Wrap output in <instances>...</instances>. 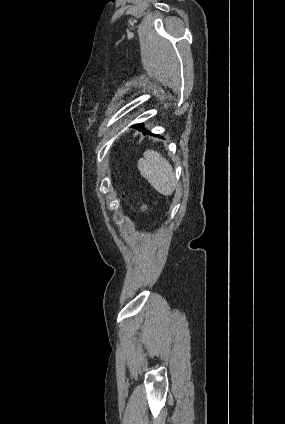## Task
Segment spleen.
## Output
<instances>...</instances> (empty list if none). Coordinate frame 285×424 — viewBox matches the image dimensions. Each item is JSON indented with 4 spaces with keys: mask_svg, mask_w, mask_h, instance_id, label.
Wrapping results in <instances>:
<instances>
[{
    "mask_svg": "<svg viewBox=\"0 0 285 424\" xmlns=\"http://www.w3.org/2000/svg\"><path fill=\"white\" fill-rule=\"evenodd\" d=\"M140 174L152 187L164 196H170L176 187L175 176L171 164L157 151L146 150L144 158L139 159Z\"/></svg>",
    "mask_w": 285,
    "mask_h": 424,
    "instance_id": "obj_1",
    "label": "spleen"
}]
</instances>
